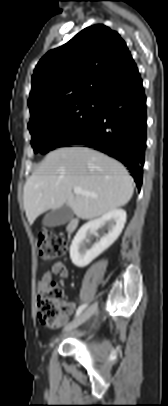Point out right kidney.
<instances>
[{
  "label": "right kidney",
  "mask_w": 168,
  "mask_h": 406,
  "mask_svg": "<svg viewBox=\"0 0 168 406\" xmlns=\"http://www.w3.org/2000/svg\"><path fill=\"white\" fill-rule=\"evenodd\" d=\"M126 222V212L123 209L112 210L96 220L84 224L70 246V258L72 263L80 268L90 264L96 257L109 248L121 234ZM108 224V233L101 237L90 249L84 243L88 232H95L105 224Z\"/></svg>",
  "instance_id": "right-kidney-1"
}]
</instances>
